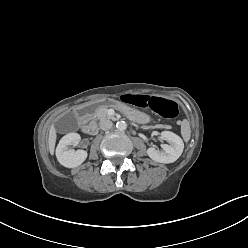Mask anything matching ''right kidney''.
<instances>
[{"instance_id":"right-kidney-1","label":"right kidney","mask_w":248,"mask_h":248,"mask_svg":"<svg viewBox=\"0 0 248 248\" xmlns=\"http://www.w3.org/2000/svg\"><path fill=\"white\" fill-rule=\"evenodd\" d=\"M80 135L78 133H69L62 137L57 148L56 157L59 163L67 168H74L81 165L87 158V151L85 150H73L68 146L80 141Z\"/></svg>"}]
</instances>
